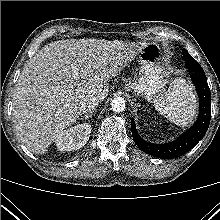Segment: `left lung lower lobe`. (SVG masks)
Wrapping results in <instances>:
<instances>
[{
  "instance_id": "obj_1",
  "label": "left lung lower lobe",
  "mask_w": 220,
  "mask_h": 220,
  "mask_svg": "<svg viewBox=\"0 0 220 220\" xmlns=\"http://www.w3.org/2000/svg\"><path fill=\"white\" fill-rule=\"evenodd\" d=\"M183 56L191 79L196 86L200 101L199 116L192 128L181 137L168 144H152L144 141L137 133L132 120V137L136 145L145 153L158 158L173 159L184 155L204 137L211 117V94L207 78L201 65L183 49Z\"/></svg>"
}]
</instances>
